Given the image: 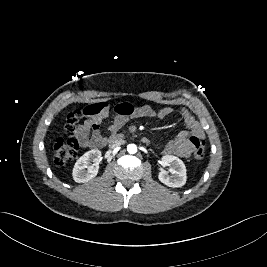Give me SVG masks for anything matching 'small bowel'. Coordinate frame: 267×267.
I'll return each instance as SVG.
<instances>
[{"instance_id": "obj_1", "label": "small bowel", "mask_w": 267, "mask_h": 267, "mask_svg": "<svg viewBox=\"0 0 267 267\" xmlns=\"http://www.w3.org/2000/svg\"><path fill=\"white\" fill-rule=\"evenodd\" d=\"M90 113L86 115L83 123L77 125L75 135L82 147L99 148L106 143V136L102 131L103 121L109 115V107L100 102L87 106ZM116 116L110 125V131L114 132L123 127L131 118L158 117L164 119L173 113L170 107L155 110L149 105L133 106L130 103H120L114 108ZM181 115L185 129L174 140L168 142L163 153L187 159L194 151L193 139L204 138V132L195 117L186 108L181 109Z\"/></svg>"}]
</instances>
